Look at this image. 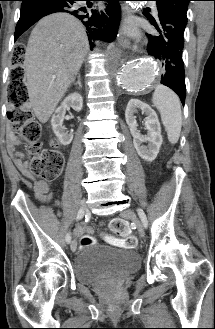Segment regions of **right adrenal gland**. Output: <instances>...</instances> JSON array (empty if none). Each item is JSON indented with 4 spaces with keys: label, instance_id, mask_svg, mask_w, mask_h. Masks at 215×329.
I'll return each instance as SVG.
<instances>
[{
    "label": "right adrenal gland",
    "instance_id": "2a0ac1e0",
    "mask_svg": "<svg viewBox=\"0 0 215 329\" xmlns=\"http://www.w3.org/2000/svg\"><path fill=\"white\" fill-rule=\"evenodd\" d=\"M77 78H78L77 82L73 81V84L74 85H78L79 88L81 89L82 88V84H81V76H80V74L77 75Z\"/></svg>",
    "mask_w": 215,
    "mask_h": 329
}]
</instances>
